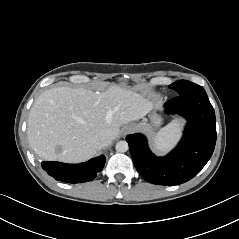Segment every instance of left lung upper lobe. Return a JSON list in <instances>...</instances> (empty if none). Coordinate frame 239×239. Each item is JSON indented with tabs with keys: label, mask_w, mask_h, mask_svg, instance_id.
<instances>
[{
	"label": "left lung upper lobe",
	"mask_w": 239,
	"mask_h": 239,
	"mask_svg": "<svg viewBox=\"0 0 239 239\" xmlns=\"http://www.w3.org/2000/svg\"><path fill=\"white\" fill-rule=\"evenodd\" d=\"M169 88L174 89L178 93V95H185L203 89L202 86H199L187 80L177 81L169 85Z\"/></svg>",
	"instance_id": "1"
}]
</instances>
